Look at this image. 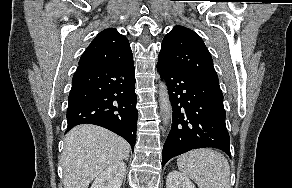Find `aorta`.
Wrapping results in <instances>:
<instances>
[{"label":"aorta","instance_id":"762f6f07","mask_svg":"<svg viewBox=\"0 0 292 188\" xmlns=\"http://www.w3.org/2000/svg\"><path fill=\"white\" fill-rule=\"evenodd\" d=\"M160 112L163 116L164 125H168L172 116V106L169 99L168 88L165 81L159 82Z\"/></svg>","mask_w":292,"mask_h":188}]
</instances>
